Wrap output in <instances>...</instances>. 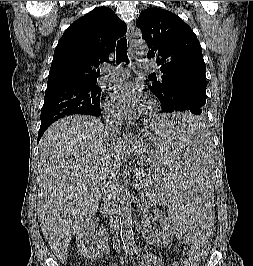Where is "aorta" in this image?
Here are the masks:
<instances>
[{
	"instance_id": "obj_1",
	"label": "aorta",
	"mask_w": 253,
	"mask_h": 266,
	"mask_svg": "<svg viewBox=\"0 0 253 266\" xmlns=\"http://www.w3.org/2000/svg\"><path fill=\"white\" fill-rule=\"evenodd\" d=\"M132 50L138 55H145L148 52V47L144 41H136L132 44ZM118 216L121 239L124 245H131L134 243V237L132 232L131 203L127 190L121 191Z\"/></svg>"
}]
</instances>
